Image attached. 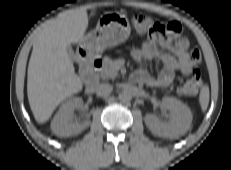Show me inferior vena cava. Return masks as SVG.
<instances>
[{"label":"inferior vena cava","instance_id":"inferior-vena-cava-1","mask_svg":"<svg viewBox=\"0 0 231 170\" xmlns=\"http://www.w3.org/2000/svg\"><path fill=\"white\" fill-rule=\"evenodd\" d=\"M112 86L110 84H100L96 88V94L101 97L108 96L112 91Z\"/></svg>","mask_w":231,"mask_h":170}]
</instances>
